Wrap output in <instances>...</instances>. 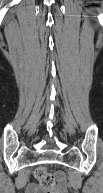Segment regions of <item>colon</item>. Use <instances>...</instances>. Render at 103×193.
Returning <instances> with one entry per match:
<instances>
[{
    "mask_svg": "<svg viewBox=\"0 0 103 193\" xmlns=\"http://www.w3.org/2000/svg\"><path fill=\"white\" fill-rule=\"evenodd\" d=\"M36 178L39 180L40 184L47 190L53 191L57 179L59 180L60 174L54 176L45 167H39L35 172Z\"/></svg>",
    "mask_w": 103,
    "mask_h": 193,
    "instance_id": "colon-1",
    "label": "colon"
}]
</instances>
